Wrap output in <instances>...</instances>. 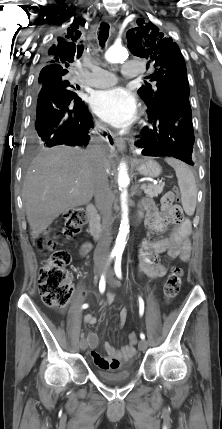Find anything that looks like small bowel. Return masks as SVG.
<instances>
[{
    "label": "small bowel",
    "instance_id": "obj_1",
    "mask_svg": "<svg viewBox=\"0 0 222 429\" xmlns=\"http://www.w3.org/2000/svg\"><path fill=\"white\" fill-rule=\"evenodd\" d=\"M141 209L145 211V225L152 233L161 234L167 230L171 223L174 224V228L167 238L144 240L140 245L138 270L140 273H144L155 280L164 277L167 273V266L160 260L161 254L165 253L168 258L179 257L181 261L189 260L192 249L190 241L192 224L178 205L166 206L162 204V211L160 212L151 200L145 199L141 203ZM90 250L91 244L83 243L79 249V255L84 257ZM83 296H85V293L81 294V297ZM114 296V293H110L106 303L111 304ZM127 314V308H122L119 313V328L124 326ZM84 321L93 325L97 323V318L87 314L84 317ZM86 337L91 349V357L101 369H118L125 366L135 353L133 346L124 345L117 349L113 345L106 343V356H102L95 350L99 342L97 334L89 331Z\"/></svg>",
    "mask_w": 222,
    "mask_h": 429
}]
</instances>
